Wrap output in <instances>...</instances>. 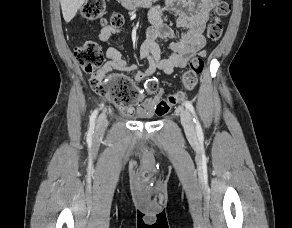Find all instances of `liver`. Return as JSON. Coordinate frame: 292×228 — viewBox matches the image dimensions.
I'll return each instance as SVG.
<instances>
[{"instance_id":"6515ba94","label":"liver","mask_w":292,"mask_h":228,"mask_svg":"<svg viewBox=\"0 0 292 228\" xmlns=\"http://www.w3.org/2000/svg\"><path fill=\"white\" fill-rule=\"evenodd\" d=\"M87 0H60L64 20L69 23Z\"/></svg>"}]
</instances>
